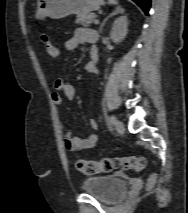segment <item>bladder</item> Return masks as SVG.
<instances>
[{
	"label": "bladder",
	"instance_id": "obj_1",
	"mask_svg": "<svg viewBox=\"0 0 188 213\" xmlns=\"http://www.w3.org/2000/svg\"><path fill=\"white\" fill-rule=\"evenodd\" d=\"M81 189L102 202L114 203L125 193L126 184L115 175H92L83 179Z\"/></svg>",
	"mask_w": 188,
	"mask_h": 213
}]
</instances>
